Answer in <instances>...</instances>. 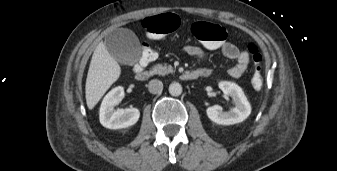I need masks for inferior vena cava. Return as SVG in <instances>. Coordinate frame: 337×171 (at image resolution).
<instances>
[{
    "instance_id": "obj_1",
    "label": "inferior vena cava",
    "mask_w": 337,
    "mask_h": 171,
    "mask_svg": "<svg viewBox=\"0 0 337 171\" xmlns=\"http://www.w3.org/2000/svg\"><path fill=\"white\" fill-rule=\"evenodd\" d=\"M148 90L152 94L161 93L163 90V83L160 80L153 79L148 84Z\"/></svg>"
}]
</instances>
